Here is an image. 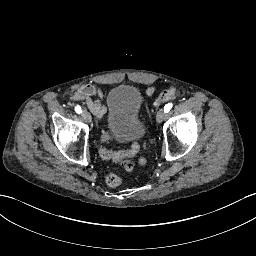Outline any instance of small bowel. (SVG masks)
I'll return each instance as SVG.
<instances>
[{"mask_svg": "<svg viewBox=\"0 0 256 256\" xmlns=\"http://www.w3.org/2000/svg\"><path fill=\"white\" fill-rule=\"evenodd\" d=\"M154 92V87H150L147 90L148 95H152ZM71 99L76 102H85L90 111L98 118L103 117L107 113V107L103 104L104 93L95 84L88 83L77 87Z\"/></svg>", "mask_w": 256, "mask_h": 256, "instance_id": "obj_1", "label": "small bowel"}]
</instances>
